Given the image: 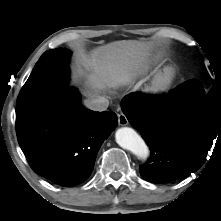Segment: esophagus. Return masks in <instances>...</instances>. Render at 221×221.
I'll return each instance as SVG.
<instances>
[{
  "instance_id": "obj_1",
  "label": "esophagus",
  "mask_w": 221,
  "mask_h": 221,
  "mask_svg": "<svg viewBox=\"0 0 221 221\" xmlns=\"http://www.w3.org/2000/svg\"><path fill=\"white\" fill-rule=\"evenodd\" d=\"M118 123L121 126H126L128 124V120L123 113L118 114Z\"/></svg>"
}]
</instances>
